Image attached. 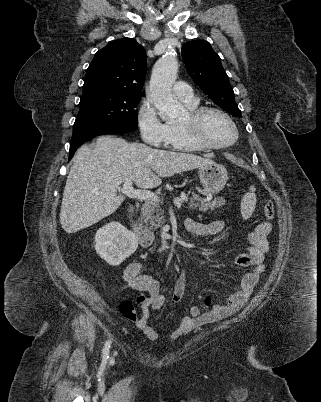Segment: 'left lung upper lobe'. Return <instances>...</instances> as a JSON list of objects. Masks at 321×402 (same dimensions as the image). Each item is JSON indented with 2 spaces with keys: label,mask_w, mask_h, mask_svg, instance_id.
I'll list each match as a JSON object with an SVG mask.
<instances>
[{
  "label": "left lung upper lobe",
  "mask_w": 321,
  "mask_h": 402,
  "mask_svg": "<svg viewBox=\"0 0 321 402\" xmlns=\"http://www.w3.org/2000/svg\"><path fill=\"white\" fill-rule=\"evenodd\" d=\"M186 70L201 90L225 111L241 117L234 100V92L220 57L203 40L187 42L182 46Z\"/></svg>",
  "instance_id": "5c2ea615"
}]
</instances>
